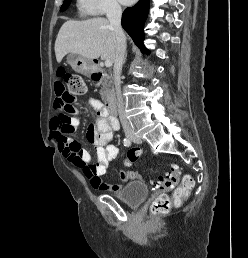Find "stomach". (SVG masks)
<instances>
[{
    "label": "stomach",
    "mask_w": 248,
    "mask_h": 258,
    "mask_svg": "<svg viewBox=\"0 0 248 258\" xmlns=\"http://www.w3.org/2000/svg\"><path fill=\"white\" fill-rule=\"evenodd\" d=\"M67 62L75 72L86 76H91L95 71L94 62L80 55L68 54Z\"/></svg>",
    "instance_id": "1"
}]
</instances>
